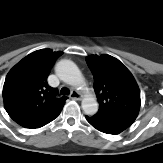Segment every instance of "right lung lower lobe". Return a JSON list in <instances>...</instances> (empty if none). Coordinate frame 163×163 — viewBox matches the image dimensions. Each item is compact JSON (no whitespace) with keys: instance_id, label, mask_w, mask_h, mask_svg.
<instances>
[{"instance_id":"right-lung-lower-lobe-1","label":"right lung lower lobe","mask_w":163,"mask_h":163,"mask_svg":"<svg viewBox=\"0 0 163 163\" xmlns=\"http://www.w3.org/2000/svg\"><path fill=\"white\" fill-rule=\"evenodd\" d=\"M59 114H60V111L47 117L24 118L15 122H17L19 125L25 128H39L48 124L55 118H57Z\"/></svg>"}]
</instances>
